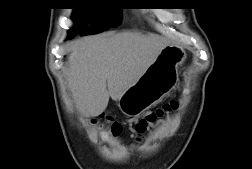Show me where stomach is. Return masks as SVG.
Returning a JSON list of instances; mask_svg holds the SVG:
<instances>
[{"instance_id": "obj_1", "label": "stomach", "mask_w": 252, "mask_h": 169, "mask_svg": "<svg viewBox=\"0 0 252 169\" xmlns=\"http://www.w3.org/2000/svg\"><path fill=\"white\" fill-rule=\"evenodd\" d=\"M184 57L182 49L165 46L140 79L119 99L121 112L128 117H137L175 89L179 80L178 65Z\"/></svg>"}]
</instances>
